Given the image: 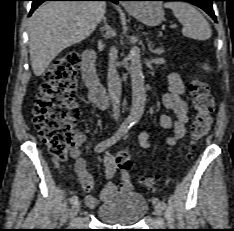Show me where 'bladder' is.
Segmentation results:
<instances>
[{
    "label": "bladder",
    "mask_w": 234,
    "mask_h": 231,
    "mask_svg": "<svg viewBox=\"0 0 234 231\" xmlns=\"http://www.w3.org/2000/svg\"><path fill=\"white\" fill-rule=\"evenodd\" d=\"M148 212V202L137 192L128 191L114 194L98 210L101 222L114 225H133Z\"/></svg>",
    "instance_id": "bladder-1"
}]
</instances>
